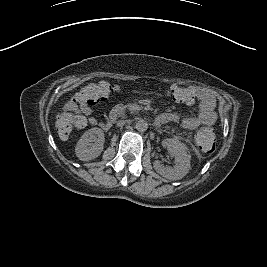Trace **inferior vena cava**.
Listing matches in <instances>:
<instances>
[{
  "mask_svg": "<svg viewBox=\"0 0 267 267\" xmlns=\"http://www.w3.org/2000/svg\"><path fill=\"white\" fill-rule=\"evenodd\" d=\"M121 125H124L126 123V121H120L119 122Z\"/></svg>",
  "mask_w": 267,
  "mask_h": 267,
  "instance_id": "inferior-vena-cava-1",
  "label": "inferior vena cava"
}]
</instances>
